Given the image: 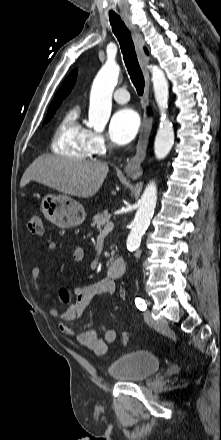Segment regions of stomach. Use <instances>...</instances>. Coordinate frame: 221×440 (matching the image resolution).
<instances>
[{
    "instance_id": "stomach-1",
    "label": "stomach",
    "mask_w": 221,
    "mask_h": 440,
    "mask_svg": "<svg viewBox=\"0 0 221 440\" xmlns=\"http://www.w3.org/2000/svg\"><path fill=\"white\" fill-rule=\"evenodd\" d=\"M45 218L60 228L76 227L86 217L84 207L66 195H46L41 202Z\"/></svg>"
}]
</instances>
